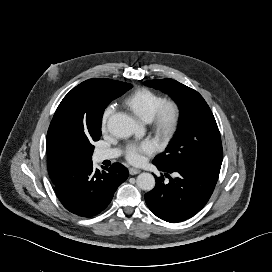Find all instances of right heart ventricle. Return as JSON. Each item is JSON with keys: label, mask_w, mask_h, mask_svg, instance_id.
<instances>
[{"label": "right heart ventricle", "mask_w": 272, "mask_h": 272, "mask_svg": "<svg viewBox=\"0 0 272 272\" xmlns=\"http://www.w3.org/2000/svg\"><path fill=\"white\" fill-rule=\"evenodd\" d=\"M163 100L159 93L142 88L131 94L125 103L141 120L150 122Z\"/></svg>", "instance_id": "e07e8e85"}]
</instances>
